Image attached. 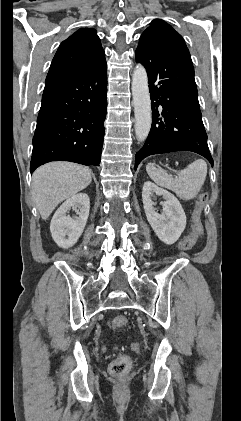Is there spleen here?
<instances>
[{"instance_id":"obj_1","label":"spleen","mask_w":241,"mask_h":421,"mask_svg":"<svg viewBox=\"0 0 241 421\" xmlns=\"http://www.w3.org/2000/svg\"><path fill=\"white\" fill-rule=\"evenodd\" d=\"M150 178L159 186L173 191L183 200H191L199 193L207 175V164L198 159L177 173L173 178L164 170L156 168L153 163L146 166Z\"/></svg>"}]
</instances>
